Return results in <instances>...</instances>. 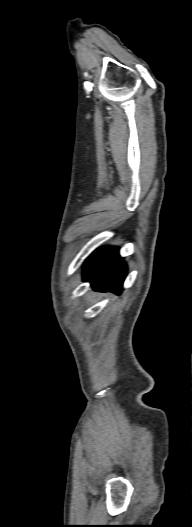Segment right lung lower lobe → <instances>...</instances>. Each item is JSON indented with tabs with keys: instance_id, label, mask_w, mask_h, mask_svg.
I'll list each match as a JSON object with an SVG mask.
<instances>
[{
	"instance_id": "right-lung-lower-lobe-1",
	"label": "right lung lower lobe",
	"mask_w": 192,
	"mask_h": 527,
	"mask_svg": "<svg viewBox=\"0 0 192 527\" xmlns=\"http://www.w3.org/2000/svg\"><path fill=\"white\" fill-rule=\"evenodd\" d=\"M126 276V265L117 248L95 251L84 266V280L90 281L94 290L120 293Z\"/></svg>"
}]
</instances>
